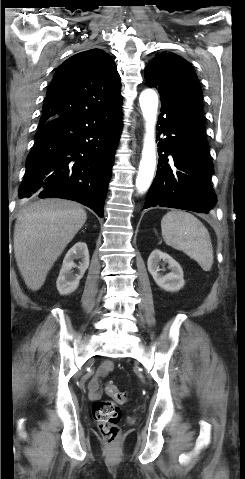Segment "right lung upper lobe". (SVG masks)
<instances>
[{
    "instance_id": "obj_1",
    "label": "right lung upper lobe",
    "mask_w": 245,
    "mask_h": 479,
    "mask_svg": "<svg viewBox=\"0 0 245 479\" xmlns=\"http://www.w3.org/2000/svg\"><path fill=\"white\" fill-rule=\"evenodd\" d=\"M121 82L113 58L100 49L80 52L56 71L44 100L39 127L62 116L121 106Z\"/></svg>"
}]
</instances>
